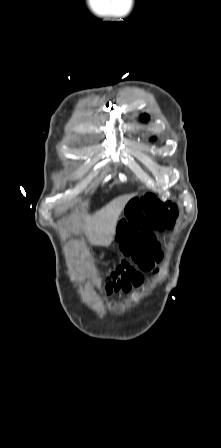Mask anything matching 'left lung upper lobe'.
Wrapping results in <instances>:
<instances>
[{
    "instance_id": "1",
    "label": "left lung upper lobe",
    "mask_w": 221,
    "mask_h": 448,
    "mask_svg": "<svg viewBox=\"0 0 221 448\" xmlns=\"http://www.w3.org/2000/svg\"><path fill=\"white\" fill-rule=\"evenodd\" d=\"M149 116L148 115H142L141 120L142 121H146L148 120Z\"/></svg>"
}]
</instances>
